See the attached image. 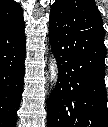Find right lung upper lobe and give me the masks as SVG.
Returning a JSON list of instances; mask_svg holds the SVG:
<instances>
[{
    "label": "right lung upper lobe",
    "instance_id": "obj_1",
    "mask_svg": "<svg viewBox=\"0 0 108 127\" xmlns=\"http://www.w3.org/2000/svg\"><path fill=\"white\" fill-rule=\"evenodd\" d=\"M22 18V8L16 1L0 0V25L16 23Z\"/></svg>",
    "mask_w": 108,
    "mask_h": 127
}]
</instances>
